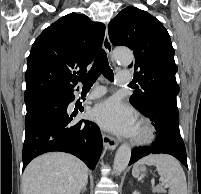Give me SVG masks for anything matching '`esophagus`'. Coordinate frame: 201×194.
Here are the masks:
<instances>
[{
	"instance_id": "obj_1",
	"label": "esophagus",
	"mask_w": 201,
	"mask_h": 194,
	"mask_svg": "<svg viewBox=\"0 0 201 194\" xmlns=\"http://www.w3.org/2000/svg\"><path fill=\"white\" fill-rule=\"evenodd\" d=\"M103 47L109 57V61L112 65H115L112 59V44L109 39L108 29L106 27L105 35L103 39ZM103 145L105 149L114 150L118 146V140L109 134L103 135Z\"/></svg>"
}]
</instances>
